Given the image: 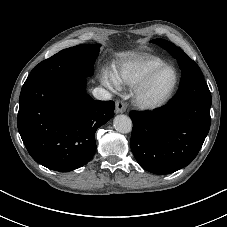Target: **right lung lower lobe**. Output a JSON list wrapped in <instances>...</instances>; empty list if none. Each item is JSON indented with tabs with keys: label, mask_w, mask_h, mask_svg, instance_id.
<instances>
[{
	"label": "right lung lower lobe",
	"mask_w": 227,
	"mask_h": 227,
	"mask_svg": "<svg viewBox=\"0 0 227 227\" xmlns=\"http://www.w3.org/2000/svg\"><path fill=\"white\" fill-rule=\"evenodd\" d=\"M86 79H49L22 89L18 130L39 164L68 172L87 164L96 150V130L114 116L113 101H94Z\"/></svg>",
	"instance_id": "1"
}]
</instances>
